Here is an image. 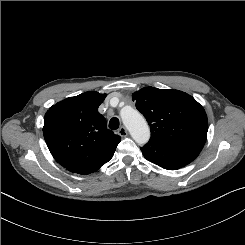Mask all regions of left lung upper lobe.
Instances as JSON below:
<instances>
[{
  "label": "left lung upper lobe",
  "mask_w": 245,
  "mask_h": 245,
  "mask_svg": "<svg viewBox=\"0 0 245 245\" xmlns=\"http://www.w3.org/2000/svg\"><path fill=\"white\" fill-rule=\"evenodd\" d=\"M132 99L150 126V141L199 155L206 142L208 120L193 97L179 90L145 87L133 93Z\"/></svg>",
  "instance_id": "obj_1"
}]
</instances>
